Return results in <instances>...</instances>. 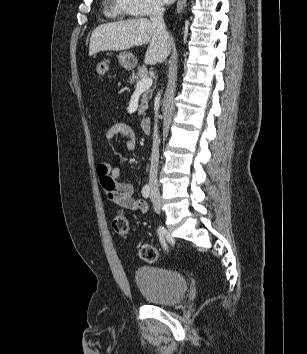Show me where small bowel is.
<instances>
[{
    "label": "small bowel",
    "instance_id": "obj_1",
    "mask_svg": "<svg viewBox=\"0 0 307 354\" xmlns=\"http://www.w3.org/2000/svg\"><path fill=\"white\" fill-rule=\"evenodd\" d=\"M118 136L124 138L125 147L127 149L131 150L135 147L136 133L127 123H116L105 133L107 140H112ZM96 173L105 196L110 202L140 213L147 211V203L142 199H135L133 197V185L129 182L118 181L123 174L121 167H113L110 163L103 162L97 166Z\"/></svg>",
    "mask_w": 307,
    "mask_h": 354
}]
</instances>
